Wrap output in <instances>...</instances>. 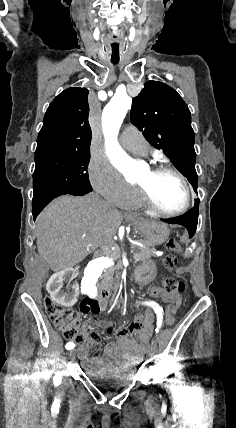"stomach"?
<instances>
[{
	"mask_svg": "<svg viewBox=\"0 0 236 428\" xmlns=\"http://www.w3.org/2000/svg\"><path fill=\"white\" fill-rule=\"evenodd\" d=\"M142 234L147 244H151V246H160V244H164V242L168 240L170 230L167 224H163V222H159V220H150V222H143ZM156 270V262L150 260L139 262L138 269L133 272L132 281L146 287L149 283L153 282V276L156 275Z\"/></svg>",
	"mask_w": 236,
	"mask_h": 428,
	"instance_id": "0dacf381",
	"label": "stomach"
}]
</instances>
